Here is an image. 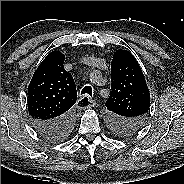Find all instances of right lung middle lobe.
<instances>
[{
	"label": "right lung middle lobe",
	"instance_id": "1",
	"mask_svg": "<svg viewBox=\"0 0 184 184\" xmlns=\"http://www.w3.org/2000/svg\"><path fill=\"white\" fill-rule=\"evenodd\" d=\"M72 128H73V124L67 130H65V131H63V132H61V133H59L57 135H54V136H51V137H46V138L48 140H51V141H59V140H62L64 138H66L70 134Z\"/></svg>",
	"mask_w": 184,
	"mask_h": 184
}]
</instances>
